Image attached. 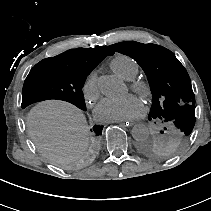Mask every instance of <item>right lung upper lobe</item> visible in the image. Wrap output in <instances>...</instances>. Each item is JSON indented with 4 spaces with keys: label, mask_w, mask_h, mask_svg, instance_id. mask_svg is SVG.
<instances>
[{
    "label": "right lung upper lobe",
    "mask_w": 211,
    "mask_h": 211,
    "mask_svg": "<svg viewBox=\"0 0 211 211\" xmlns=\"http://www.w3.org/2000/svg\"><path fill=\"white\" fill-rule=\"evenodd\" d=\"M114 52L106 46H97L95 48H77L61 53L60 58H70L85 62H101L106 56L113 55Z\"/></svg>",
    "instance_id": "1"
}]
</instances>
